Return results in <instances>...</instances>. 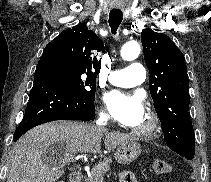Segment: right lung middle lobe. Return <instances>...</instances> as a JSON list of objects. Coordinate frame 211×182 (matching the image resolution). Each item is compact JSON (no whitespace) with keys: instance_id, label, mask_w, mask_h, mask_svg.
I'll list each match as a JSON object with an SVG mask.
<instances>
[{"instance_id":"obj_1","label":"right lung middle lobe","mask_w":211,"mask_h":182,"mask_svg":"<svg viewBox=\"0 0 211 182\" xmlns=\"http://www.w3.org/2000/svg\"><path fill=\"white\" fill-rule=\"evenodd\" d=\"M55 65L66 76L72 86L78 90V93L84 98L94 101L96 80L95 76L89 75L73 66L56 62Z\"/></svg>"}]
</instances>
